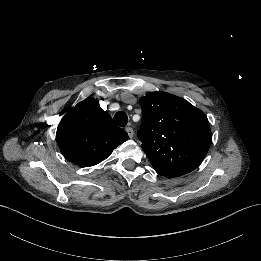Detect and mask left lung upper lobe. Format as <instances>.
I'll list each match as a JSON object with an SVG mask.
<instances>
[{
    "instance_id": "left-lung-upper-lobe-1",
    "label": "left lung upper lobe",
    "mask_w": 261,
    "mask_h": 261,
    "mask_svg": "<svg viewBox=\"0 0 261 261\" xmlns=\"http://www.w3.org/2000/svg\"><path fill=\"white\" fill-rule=\"evenodd\" d=\"M140 105L138 137L155 171L173 178L197 168L211 143L206 115L186 100L162 91L142 97Z\"/></svg>"
}]
</instances>
